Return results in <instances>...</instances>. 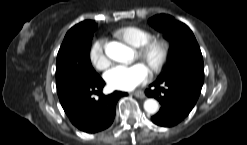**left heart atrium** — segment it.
Masks as SVG:
<instances>
[{"label": "left heart atrium", "instance_id": "left-heart-atrium-1", "mask_svg": "<svg viewBox=\"0 0 247 145\" xmlns=\"http://www.w3.org/2000/svg\"><path fill=\"white\" fill-rule=\"evenodd\" d=\"M104 78L111 88L128 91L148 82L150 71L141 62L130 65L117 64L105 72Z\"/></svg>", "mask_w": 247, "mask_h": 145}]
</instances>
